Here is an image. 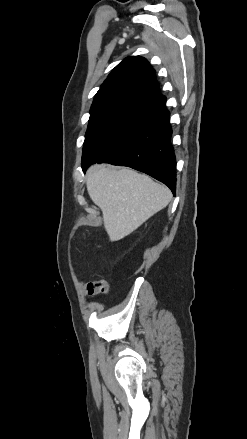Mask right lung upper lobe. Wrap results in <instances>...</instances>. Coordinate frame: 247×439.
Here are the masks:
<instances>
[{"instance_id": "obj_1", "label": "right lung upper lobe", "mask_w": 247, "mask_h": 439, "mask_svg": "<svg viewBox=\"0 0 247 439\" xmlns=\"http://www.w3.org/2000/svg\"><path fill=\"white\" fill-rule=\"evenodd\" d=\"M109 103H125L152 113L165 107L166 98L160 93L155 70L146 59L127 57L112 70L91 108Z\"/></svg>"}]
</instances>
